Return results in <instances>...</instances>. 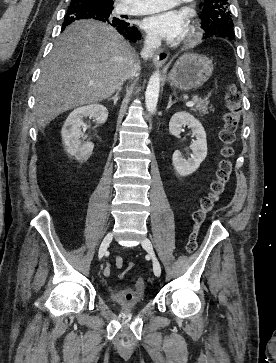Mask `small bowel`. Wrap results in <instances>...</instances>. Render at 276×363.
<instances>
[{
  "instance_id": "obj_1",
  "label": "small bowel",
  "mask_w": 276,
  "mask_h": 363,
  "mask_svg": "<svg viewBox=\"0 0 276 363\" xmlns=\"http://www.w3.org/2000/svg\"><path fill=\"white\" fill-rule=\"evenodd\" d=\"M114 265L117 268H121L123 266V257L121 255H117L112 259L111 263H108L104 269V275L109 276L111 274V265Z\"/></svg>"
}]
</instances>
